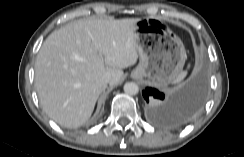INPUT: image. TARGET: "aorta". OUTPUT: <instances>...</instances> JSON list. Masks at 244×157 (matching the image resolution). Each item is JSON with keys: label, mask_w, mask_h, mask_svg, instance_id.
I'll use <instances>...</instances> for the list:
<instances>
[{"label": "aorta", "mask_w": 244, "mask_h": 157, "mask_svg": "<svg viewBox=\"0 0 244 157\" xmlns=\"http://www.w3.org/2000/svg\"><path fill=\"white\" fill-rule=\"evenodd\" d=\"M139 91V87L134 82H127L124 85V92L129 95H136Z\"/></svg>", "instance_id": "aorta-1"}]
</instances>
